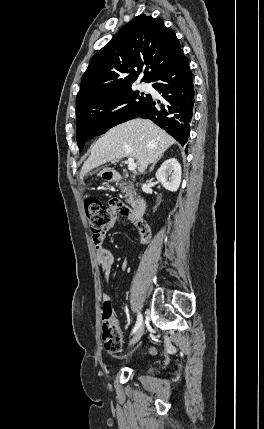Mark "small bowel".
<instances>
[{"instance_id": "c3829d8e", "label": "small bowel", "mask_w": 264, "mask_h": 429, "mask_svg": "<svg viewBox=\"0 0 264 429\" xmlns=\"http://www.w3.org/2000/svg\"><path fill=\"white\" fill-rule=\"evenodd\" d=\"M116 220H117V214L114 211L112 213L111 220H110L109 224L106 227V230H108L109 228L113 227L114 224L116 223ZM135 226H136V229H137V231L139 233L141 244L148 243V241L150 239V229H149V227L143 221H141L139 223H135ZM103 239H104V234L101 237H99L98 239L93 238V242H94V246H95V249H96V255H97L98 264L100 265V267H101V269H102V271L104 273V277L106 279V282H108L109 278H110V274H111V268H112V265L114 264L115 258H114V255L112 254V252L103 246ZM122 268L126 269L127 268V264L124 263L122 265ZM108 299H109V294L106 292L103 295L104 303L106 301H108Z\"/></svg>"}]
</instances>
